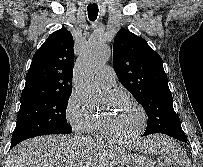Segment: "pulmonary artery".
Returning a JSON list of instances; mask_svg holds the SVG:
<instances>
[{
  "mask_svg": "<svg viewBox=\"0 0 203 167\" xmlns=\"http://www.w3.org/2000/svg\"><path fill=\"white\" fill-rule=\"evenodd\" d=\"M95 81L102 89H110L116 82V74L111 66L101 67L95 75Z\"/></svg>",
  "mask_w": 203,
  "mask_h": 167,
  "instance_id": "e3ab8cb5",
  "label": "pulmonary artery"
}]
</instances>
